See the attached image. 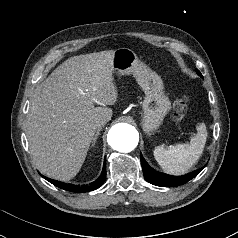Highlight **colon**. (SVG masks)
<instances>
[{"label": "colon", "mask_w": 238, "mask_h": 238, "mask_svg": "<svg viewBox=\"0 0 238 238\" xmlns=\"http://www.w3.org/2000/svg\"><path fill=\"white\" fill-rule=\"evenodd\" d=\"M189 108L187 98H180L174 104V113H173V120L174 122L178 123L182 120L183 116L187 112Z\"/></svg>", "instance_id": "colon-1"}]
</instances>
